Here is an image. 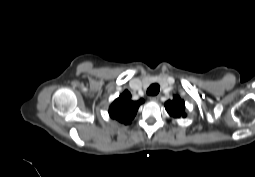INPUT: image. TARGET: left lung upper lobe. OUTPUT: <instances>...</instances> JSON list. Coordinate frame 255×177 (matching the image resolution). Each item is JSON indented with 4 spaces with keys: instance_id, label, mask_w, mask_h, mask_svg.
Segmentation results:
<instances>
[{
    "instance_id": "1",
    "label": "left lung upper lobe",
    "mask_w": 255,
    "mask_h": 177,
    "mask_svg": "<svg viewBox=\"0 0 255 177\" xmlns=\"http://www.w3.org/2000/svg\"><path fill=\"white\" fill-rule=\"evenodd\" d=\"M165 109L172 118L186 117L185 102L179 96H174L172 100H168Z\"/></svg>"
}]
</instances>
